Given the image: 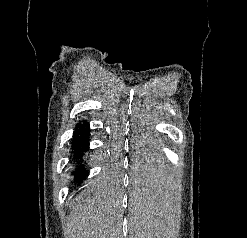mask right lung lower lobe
Segmentation results:
<instances>
[{
	"label": "right lung lower lobe",
	"mask_w": 247,
	"mask_h": 238,
	"mask_svg": "<svg viewBox=\"0 0 247 238\" xmlns=\"http://www.w3.org/2000/svg\"><path fill=\"white\" fill-rule=\"evenodd\" d=\"M89 146V129L87 124H80L77 130L74 132V137L71 145V150L73 153V175L74 180L81 184L86 178L88 172L85 168V155L88 151Z\"/></svg>",
	"instance_id": "obj_1"
}]
</instances>
